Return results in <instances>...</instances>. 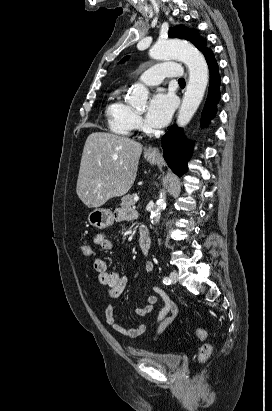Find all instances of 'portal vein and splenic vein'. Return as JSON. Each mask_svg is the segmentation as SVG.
Here are the masks:
<instances>
[{"instance_id":"portal-vein-and-splenic-vein-1","label":"portal vein and splenic vein","mask_w":272,"mask_h":411,"mask_svg":"<svg viewBox=\"0 0 272 411\" xmlns=\"http://www.w3.org/2000/svg\"><path fill=\"white\" fill-rule=\"evenodd\" d=\"M138 200H139V197H138V196H135V197H134V201L137 202Z\"/></svg>"}]
</instances>
